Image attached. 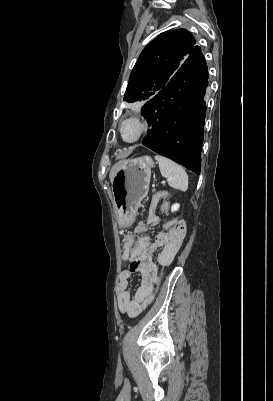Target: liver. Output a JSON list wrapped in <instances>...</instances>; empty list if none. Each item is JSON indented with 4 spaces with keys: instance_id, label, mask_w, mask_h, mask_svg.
Masks as SVG:
<instances>
[{
    "instance_id": "1",
    "label": "liver",
    "mask_w": 273,
    "mask_h": 401,
    "mask_svg": "<svg viewBox=\"0 0 273 401\" xmlns=\"http://www.w3.org/2000/svg\"><path fill=\"white\" fill-rule=\"evenodd\" d=\"M131 160H134V158H131ZM123 162H126V160H119V162H116V164H113V166L109 172L110 182H113V178H114L117 170H119L121 164H123Z\"/></svg>"
}]
</instances>
